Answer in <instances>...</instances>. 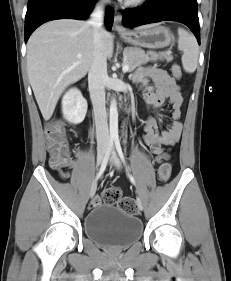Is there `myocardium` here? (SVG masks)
Wrapping results in <instances>:
<instances>
[{
    "instance_id": "obj_1",
    "label": "myocardium",
    "mask_w": 231,
    "mask_h": 281,
    "mask_svg": "<svg viewBox=\"0 0 231 281\" xmlns=\"http://www.w3.org/2000/svg\"><path fill=\"white\" fill-rule=\"evenodd\" d=\"M147 0H126L128 7H140L146 3Z\"/></svg>"
}]
</instances>
